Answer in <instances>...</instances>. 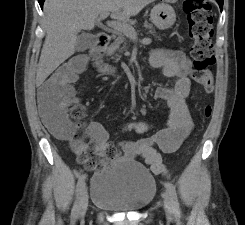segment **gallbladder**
I'll list each match as a JSON object with an SVG mask.
<instances>
[{
	"mask_svg": "<svg viewBox=\"0 0 245 225\" xmlns=\"http://www.w3.org/2000/svg\"><path fill=\"white\" fill-rule=\"evenodd\" d=\"M95 42V37L89 33H82L78 36L76 42V51L84 52L89 49Z\"/></svg>",
	"mask_w": 245,
	"mask_h": 225,
	"instance_id": "1",
	"label": "gallbladder"
}]
</instances>
